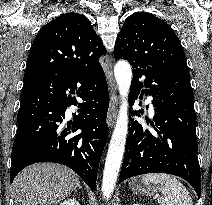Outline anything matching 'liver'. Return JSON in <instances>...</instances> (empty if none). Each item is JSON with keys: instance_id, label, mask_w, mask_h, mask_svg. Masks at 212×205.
Instances as JSON below:
<instances>
[{"instance_id": "1", "label": "liver", "mask_w": 212, "mask_h": 205, "mask_svg": "<svg viewBox=\"0 0 212 205\" xmlns=\"http://www.w3.org/2000/svg\"><path fill=\"white\" fill-rule=\"evenodd\" d=\"M74 171L54 163L34 164L23 169L12 184L16 205H56L75 189Z\"/></svg>"}]
</instances>
